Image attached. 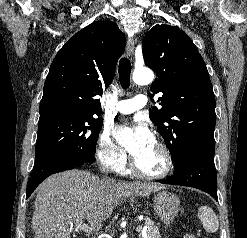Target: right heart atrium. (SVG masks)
<instances>
[{
  "mask_svg": "<svg viewBox=\"0 0 247 238\" xmlns=\"http://www.w3.org/2000/svg\"><path fill=\"white\" fill-rule=\"evenodd\" d=\"M96 158L103 167L113 171L120 170L126 165L127 156L125 152L114 143L108 129H103L98 136Z\"/></svg>",
  "mask_w": 247,
  "mask_h": 238,
  "instance_id": "d8ad5b80",
  "label": "right heart atrium"
}]
</instances>
